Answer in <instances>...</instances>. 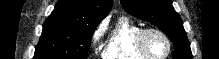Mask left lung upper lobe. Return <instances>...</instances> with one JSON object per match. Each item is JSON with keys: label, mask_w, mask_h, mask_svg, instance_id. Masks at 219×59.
<instances>
[{"label": "left lung upper lobe", "mask_w": 219, "mask_h": 59, "mask_svg": "<svg viewBox=\"0 0 219 59\" xmlns=\"http://www.w3.org/2000/svg\"><path fill=\"white\" fill-rule=\"evenodd\" d=\"M132 16L148 21L169 36L175 47L173 59H193L190 43L171 0H120Z\"/></svg>", "instance_id": "5c2ea615"}]
</instances>
